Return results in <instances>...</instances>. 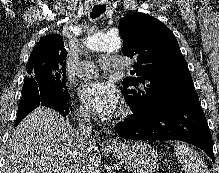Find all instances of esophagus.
<instances>
[{
    "instance_id": "esophagus-1",
    "label": "esophagus",
    "mask_w": 219,
    "mask_h": 173,
    "mask_svg": "<svg viewBox=\"0 0 219 173\" xmlns=\"http://www.w3.org/2000/svg\"><path fill=\"white\" fill-rule=\"evenodd\" d=\"M108 142H109V144H111V145L117 143V141H116L115 139H112V138H110Z\"/></svg>"
}]
</instances>
